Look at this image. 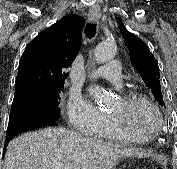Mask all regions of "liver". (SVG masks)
<instances>
[{"instance_id": "1", "label": "liver", "mask_w": 177, "mask_h": 169, "mask_svg": "<svg viewBox=\"0 0 177 169\" xmlns=\"http://www.w3.org/2000/svg\"><path fill=\"white\" fill-rule=\"evenodd\" d=\"M138 150L90 138L63 128L28 132L7 146L3 169H112Z\"/></svg>"}]
</instances>
